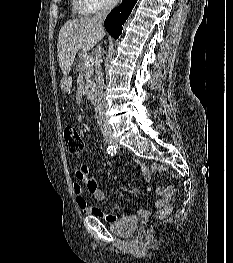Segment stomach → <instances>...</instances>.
<instances>
[{
  "mask_svg": "<svg viewBox=\"0 0 233 263\" xmlns=\"http://www.w3.org/2000/svg\"><path fill=\"white\" fill-rule=\"evenodd\" d=\"M71 81H72L71 77H62L61 78V84H60L61 90L62 91H69L70 88L73 87V84L70 83Z\"/></svg>",
  "mask_w": 233,
  "mask_h": 263,
  "instance_id": "1",
  "label": "stomach"
}]
</instances>
